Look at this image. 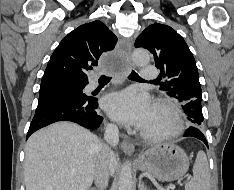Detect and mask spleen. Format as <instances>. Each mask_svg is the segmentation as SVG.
I'll use <instances>...</instances> for the list:
<instances>
[{"label": "spleen", "instance_id": "1", "mask_svg": "<svg viewBox=\"0 0 234 190\" xmlns=\"http://www.w3.org/2000/svg\"><path fill=\"white\" fill-rule=\"evenodd\" d=\"M185 190H210V171L206 154L199 151L193 165V178L186 183Z\"/></svg>", "mask_w": 234, "mask_h": 190}]
</instances>
